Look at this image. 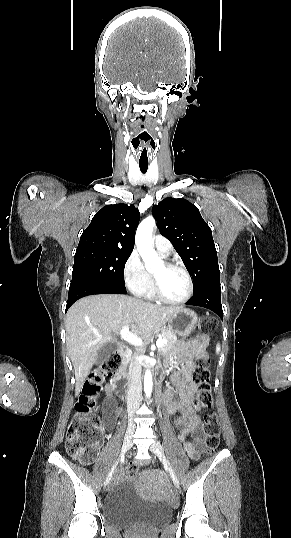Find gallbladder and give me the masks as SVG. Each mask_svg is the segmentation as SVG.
<instances>
[{
	"label": "gallbladder",
	"instance_id": "gallbladder-1",
	"mask_svg": "<svg viewBox=\"0 0 291 538\" xmlns=\"http://www.w3.org/2000/svg\"><path fill=\"white\" fill-rule=\"evenodd\" d=\"M117 349V343H106L97 353L96 365L103 363Z\"/></svg>",
	"mask_w": 291,
	"mask_h": 538
}]
</instances>
